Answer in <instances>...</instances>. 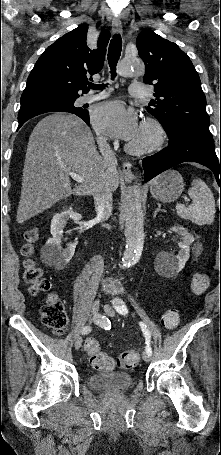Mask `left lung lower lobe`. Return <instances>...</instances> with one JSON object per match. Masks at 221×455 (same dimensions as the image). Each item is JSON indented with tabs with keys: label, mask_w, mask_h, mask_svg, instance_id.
Returning <instances> with one entry per match:
<instances>
[{
	"label": "left lung lower lobe",
	"mask_w": 221,
	"mask_h": 455,
	"mask_svg": "<svg viewBox=\"0 0 221 455\" xmlns=\"http://www.w3.org/2000/svg\"><path fill=\"white\" fill-rule=\"evenodd\" d=\"M185 161H193L210 168L221 188V155H216L209 130L187 127L169 138V145L155 155L142 160L147 182L161 172Z\"/></svg>",
	"instance_id": "1"
}]
</instances>
